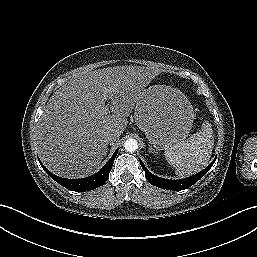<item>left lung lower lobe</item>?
I'll use <instances>...</instances> for the list:
<instances>
[{"label":"left lung lower lobe","instance_id":"1","mask_svg":"<svg viewBox=\"0 0 257 257\" xmlns=\"http://www.w3.org/2000/svg\"><path fill=\"white\" fill-rule=\"evenodd\" d=\"M216 158L211 162L209 166H207L204 170L201 172L190 176L185 179H180V180H169V179H164L157 177L153 174H151L147 168L144 166L143 162L140 160L141 166L143 170L145 171V176L147 180L150 182V184L160 187L163 189H170V190H184L192 186L195 182H197L200 178H202L213 166Z\"/></svg>","mask_w":257,"mask_h":257}]
</instances>
